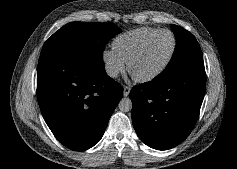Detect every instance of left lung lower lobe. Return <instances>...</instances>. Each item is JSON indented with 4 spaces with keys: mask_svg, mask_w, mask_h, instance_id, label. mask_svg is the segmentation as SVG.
Here are the masks:
<instances>
[{
    "mask_svg": "<svg viewBox=\"0 0 237 169\" xmlns=\"http://www.w3.org/2000/svg\"><path fill=\"white\" fill-rule=\"evenodd\" d=\"M204 63L159 74L133 87L132 122L139 138L157 150L173 148L194 128L205 94Z\"/></svg>",
    "mask_w": 237,
    "mask_h": 169,
    "instance_id": "0a47b994",
    "label": "left lung lower lobe"
}]
</instances>
